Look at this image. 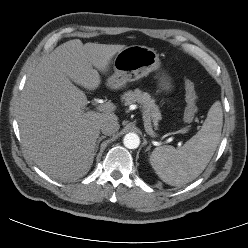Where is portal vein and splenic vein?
I'll use <instances>...</instances> for the list:
<instances>
[{"instance_id":"18ae733b","label":"portal vein and splenic vein","mask_w":248,"mask_h":248,"mask_svg":"<svg viewBox=\"0 0 248 248\" xmlns=\"http://www.w3.org/2000/svg\"><path fill=\"white\" fill-rule=\"evenodd\" d=\"M97 109L100 111V112H106V113H110L112 111L115 110V105L113 103H110V102H107V103H103V104H100ZM143 118L145 120L146 116L145 114L143 113ZM145 130L146 132L151 136V137H155V133L154 131L152 130V128L147 124L145 123Z\"/></svg>"}]
</instances>
